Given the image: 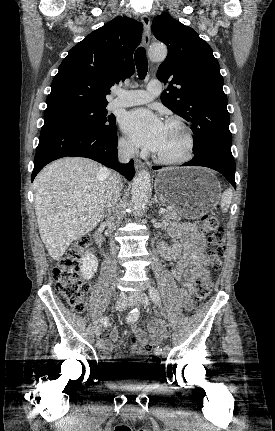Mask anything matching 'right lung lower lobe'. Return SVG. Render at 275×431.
I'll list each match as a JSON object with an SVG mask.
<instances>
[{"label":"right lung lower lobe","instance_id":"right-lung-lower-lobe-1","mask_svg":"<svg viewBox=\"0 0 275 431\" xmlns=\"http://www.w3.org/2000/svg\"><path fill=\"white\" fill-rule=\"evenodd\" d=\"M86 157L115 169L131 180L134 163L117 161L116 126L112 131L89 129L71 123L44 124L34 158L32 181L48 163L61 157Z\"/></svg>","mask_w":275,"mask_h":431}]
</instances>
